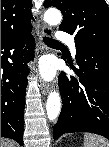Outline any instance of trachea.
I'll return each instance as SVG.
<instances>
[{
  "mask_svg": "<svg viewBox=\"0 0 109 147\" xmlns=\"http://www.w3.org/2000/svg\"><path fill=\"white\" fill-rule=\"evenodd\" d=\"M43 41L45 42V44L47 45H57V44H60L58 41L52 39V38H49V37H44L43 38Z\"/></svg>",
  "mask_w": 109,
  "mask_h": 147,
  "instance_id": "trachea-1",
  "label": "trachea"
}]
</instances>
